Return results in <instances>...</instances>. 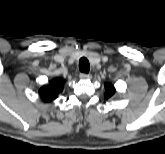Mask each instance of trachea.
I'll list each match as a JSON object with an SVG mask.
<instances>
[{"mask_svg": "<svg viewBox=\"0 0 165 154\" xmlns=\"http://www.w3.org/2000/svg\"><path fill=\"white\" fill-rule=\"evenodd\" d=\"M79 70H80L82 73H88L89 70H90L89 61H88L85 57H82V58L79 60Z\"/></svg>", "mask_w": 165, "mask_h": 154, "instance_id": "obj_1", "label": "trachea"}]
</instances>
